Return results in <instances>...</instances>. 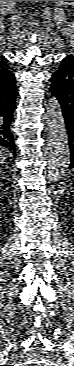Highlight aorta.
Segmentation results:
<instances>
[{"label":"aorta","instance_id":"1","mask_svg":"<svg viewBox=\"0 0 74 366\" xmlns=\"http://www.w3.org/2000/svg\"><path fill=\"white\" fill-rule=\"evenodd\" d=\"M47 177L58 181L70 164L68 132L62 107L56 97H50L46 105Z\"/></svg>","mask_w":74,"mask_h":366}]
</instances>
